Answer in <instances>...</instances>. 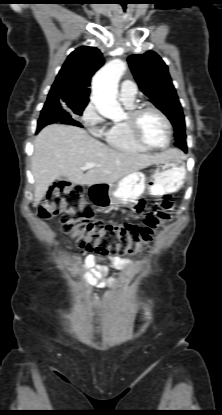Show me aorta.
<instances>
[{"mask_svg":"<svg viewBox=\"0 0 222 415\" xmlns=\"http://www.w3.org/2000/svg\"><path fill=\"white\" fill-rule=\"evenodd\" d=\"M126 70V64L114 59L105 64L93 77L92 101L104 117L118 119L123 110L117 101L118 82Z\"/></svg>","mask_w":222,"mask_h":415,"instance_id":"aorta-1","label":"aorta"}]
</instances>
